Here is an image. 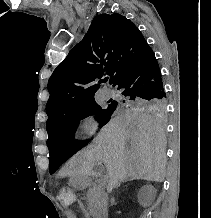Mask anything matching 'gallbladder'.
<instances>
[{"mask_svg":"<svg viewBox=\"0 0 211 218\" xmlns=\"http://www.w3.org/2000/svg\"><path fill=\"white\" fill-rule=\"evenodd\" d=\"M95 170H96V171H101V170H102V167H101V166H96V167H95Z\"/></svg>","mask_w":211,"mask_h":218,"instance_id":"bac80fb5","label":"gallbladder"}]
</instances>
